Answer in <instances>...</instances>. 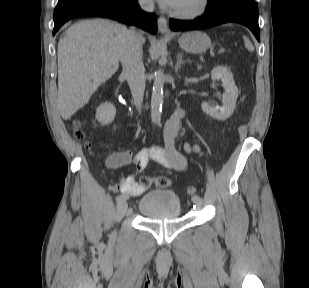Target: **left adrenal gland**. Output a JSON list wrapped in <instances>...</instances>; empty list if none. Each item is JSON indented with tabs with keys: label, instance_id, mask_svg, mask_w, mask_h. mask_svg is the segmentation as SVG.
<instances>
[{
	"label": "left adrenal gland",
	"instance_id": "obj_1",
	"mask_svg": "<svg viewBox=\"0 0 309 288\" xmlns=\"http://www.w3.org/2000/svg\"><path fill=\"white\" fill-rule=\"evenodd\" d=\"M177 62H176V65H175V72L177 73L179 68L181 67L182 64L186 63V62H190L189 60H183V54L182 53H178L177 54Z\"/></svg>",
	"mask_w": 309,
	"mask_h": 288
}]
</instances>
